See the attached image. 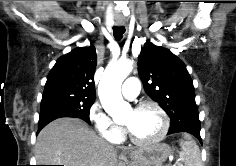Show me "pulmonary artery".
I'll return each instance as SVG.
<instances>
[{"instance_id": "obj_1", "label": "pulmonary artery", "mask_w": 236, "mask_h": 166, "mask_svg": "<svg viewBox=\"0 0 236 166\" xmlns=\"http://www.w3.org/2000/svg\"><path fill=\"white\" fill-rule=\"evenodd\" d=\"M140 89V81L136 77L128 78L123 87L122 94L127 99H134L137 97Z\"/></svg>"}]
</instances>
